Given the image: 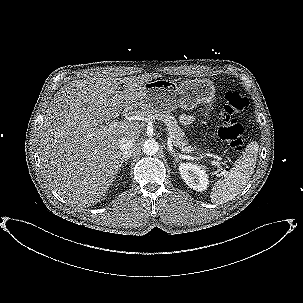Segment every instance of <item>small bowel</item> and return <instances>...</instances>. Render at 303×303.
Listing matches in <instances>:
<instances>
[{"label": "small bowel", "mask_w": 303, "mask_h": 303, "mask_svg": "<svg viewBox=\"0 0 303 303\" xmlns=\"http://www.w3.org/2000/svg\"><path fill=\"white\" fill-rule=\"evenodd\" d=\"M193 121V117L187 114H182L180 116V122L184 125H189L191 124Z\"/></svg>", "instance_id": "c3829d8e"}]
</instances>
